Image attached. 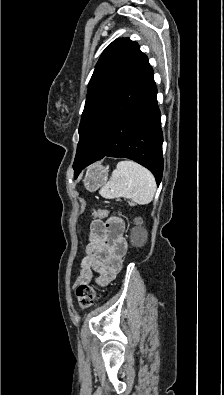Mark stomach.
<instances>
[{
    "instance_id": "stomach-1",
    "label": "stomach",
    "mask_w": 224,
    "mask_h": 395,
    "mask_svg": "<svg viewBox=\"0 0 224 395\" xmlns=\"http://www.w3.org/2000/svg\"><path fill=\"white\" fill-rule=\"evenodd\" d=\"M108 172V167L100 164L89 167L83 180L85 188L90 192L96 191L106 183Z\"/></svg>"
}]
</instances>
